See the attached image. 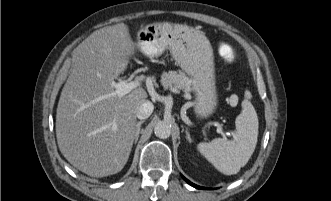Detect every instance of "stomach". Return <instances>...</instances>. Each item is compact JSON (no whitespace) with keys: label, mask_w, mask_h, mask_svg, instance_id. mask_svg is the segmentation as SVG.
Returning a JSON list of instances; mask_svg holds the SVG:
<instances>
[{"label":"stomach","mask_w":331,"mask_h":201,"mask_svg":"<svg viewBox=\"0 0 331 201\" xmlns=\"http://www.w3.org/2000/svg\"><path fill=\"white\" fill-rule=\"evenodd\" d=\"M137 47L153 58L169 50L181 69L192 77L197 117H209L217 107L213 51L201 32L186 25L152 23L137 33Z\"/></svg>","instance_id":"stomach-1"}]
</instances>
